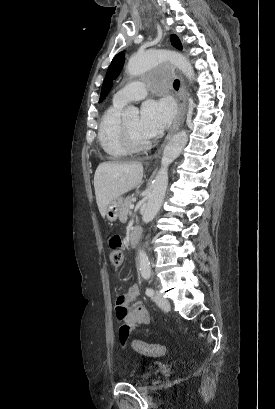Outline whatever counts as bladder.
<instances>
[{
    "label": "bladder",
    "mask_w": 275,
    "mask_h": 409,
    "mask_svg": "<svg viewBox=\"0 0 275 409\" xmlns=\"http://www.w3.org/2000/svg\"><path fill=\"white\" fill-rule=\"evenodd\" d=\"M151 378H153V373L152 372H147V373H140V374L130 375L127 379H128L129 383L137 384V383H142L144 381H148Z\"/></svg>",
    "instance_id": "1"
}]
</instances>
